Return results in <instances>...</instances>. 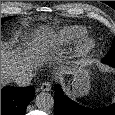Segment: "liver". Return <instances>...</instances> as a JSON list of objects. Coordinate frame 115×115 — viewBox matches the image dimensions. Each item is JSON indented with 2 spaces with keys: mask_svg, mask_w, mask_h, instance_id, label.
<instances>
[{
  "mask_svg": "<svg viewBox=\"0 0 115 115\" xmlns=\"http://www.w3.org/2000/svg\"><path fill=\"white\" fill-rule=\"evenodd\" d=\"M47 50L32 48L18 53L10 47L1 45V87L8 84L20 71H31L38 61L46 58ZM63 73L74 74L76 68L63 69Z\"/></svg>",
  "mask_w": 115,
  "mask_h": 115,
  "instance_id": "6515ba94",
  "label": "liver"
}]
</instances>
